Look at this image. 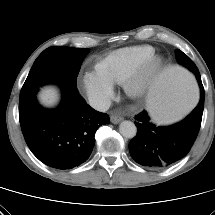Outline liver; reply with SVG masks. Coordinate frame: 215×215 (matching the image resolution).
<instances>
[{
	"label": "liver",
	"instance_id": "obj_1",
	"mask_svg": "<svg viewBox=\"0 0 215 215\" xmlns=\"http://www.w3.org/2000/svg\"><path fill=\"white\" fill-rule=\"evenodd\" d=\"M38 99L45 106H53L58 101V91L54 87H45L39 93Z\"/></svg>",
	"mask_w": 215,
	"mask_h": 215
}]
</instances>
